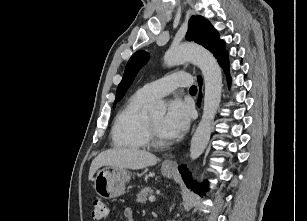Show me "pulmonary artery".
<instances>
[{"mask_svg": "<svg viewBox=\"0 0 307 221\" xmlns=\"http://www.w3.org/2000/svg\"><path fill=\"white\" fill-rule=\"evenodd\" d=\"M190 84V74L177 72L156 81L147 83L140 90L148 97L157 99L173 92L179 87H187Z\"/></svg>", "mask_w": 307, "mask_h": 221, "instance_id": "pulmonary-artery-1", "label": "pulmonary artery"}]
</instances>
